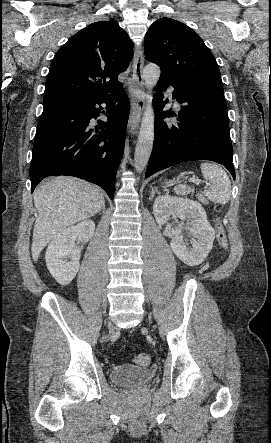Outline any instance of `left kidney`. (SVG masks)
<instances>
[{"instance_id": "obj_1", "label": "left kidney", "mask_w": 271, "mask_h": 443, "mask_svg": "<svg viewBox=\"0 0 271 443\" xmlns=\"http://www.w3.org/2000/svg\"><path fill=\"white\" fill-rule=\"evenodd\" d=\"M154 218L159 225H163L170 216H177L187 222L190 243H185L183 235L171 237L170 243L175 255L186 265H199L206 259L213 247L215 231L207 220L206 212L199 202L180 200L171 196H158L153 204Z\"/></svg>"}]
</instances>
